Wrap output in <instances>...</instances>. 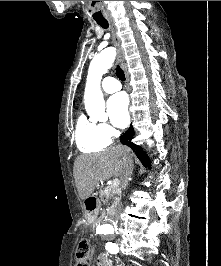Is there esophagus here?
Wrapping results in <instances>:
<instances>
[{
  "mask_svg": "<svg viewBox=\"0 0 221 266\" xmlns=\"http://www.w3.org/2000/svg\"><path fill=\"white\" fill-rule=\"evenodd\" d=\"M110 26H111V31H112V39L117 49V61L122 64L124 61V53L121 47V40L118 36L117 28L114 25V22L112 20H110Z\"/></svg>",
  "mask_w": 221,
  "mask_h": 266,
  "instance_id": "esophagus-1",
  "label": "esophagus"
}]
</instances>
